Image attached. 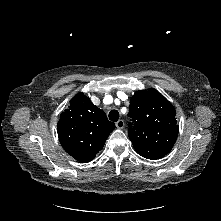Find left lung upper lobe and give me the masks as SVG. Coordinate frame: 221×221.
Here are the masks:
<instances>
[{
	"mask_svg": "<svg viewBox=\"0 0 221 221\" xmlns=\"http://www.w3.org/2000/svg\"><path fill=\"white\" fill-rule=\"evenodd\" d=\"M128 136L136 152L159 159L174 146L179 126L173 105L156 89L137 91L130 99Z\"/></svg>",
	"mask_w": 221,
	"mask_h": 221,
	"instance_id": "obj_1",
	"label": "left lung upper lobe"
}]
</instances>
